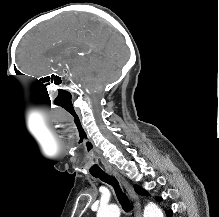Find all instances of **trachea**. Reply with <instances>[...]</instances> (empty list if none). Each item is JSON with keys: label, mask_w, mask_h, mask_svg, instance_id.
Segmentation results:
<instances>
[{"label": "trachea", "mask_w": 219, "mask_h": 217, "mask_svg": "<svg viewBox=\"0 0 219 217\" xmlns=\"http://www.w3.org/2000/svg\"><path fill=\"white\" fill-rule=\"evenodd\" d=\"M91 175L93 177L99 178L101 181L111 185L115 190V193L117 195V198H118L119 203L121 204L123 210L125 212H129L131 210V204L129 203L127 196L122 192L117 180L113 176L108 175L104 171H99V172H95V173L91 172Z\"/></svg>", "instance_id": "trachea-1"}]
</instances>
